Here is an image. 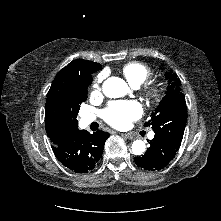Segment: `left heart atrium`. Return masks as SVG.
I'll return each instance as SVG.
<instances>
[{
    "instance_id": "1",
    "label": "left heart atrium",
    "mask_w": 221,
    "mask_h": 221,
    "mask_svg": "<svg viewBox=\"0 0 221 221\" xmlns=\"http://www.w3.org/2000/svg\"><path fill=\"white\" fill-rule=\"evenodd\" d=\"M142 115V107L135 101L114 102L104 111L105 121L114 128L123 129Z\"/></svg>"
}]
</instances>
